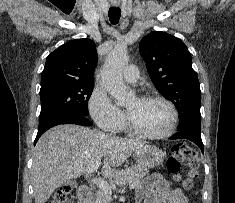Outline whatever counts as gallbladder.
Wrapping results in <instances>:
<instances>
[{"label":"gallbladder","mask_w":235,"mask_h":203,"mask_svg":"<svg viewBox=\"0 0 235 203\" xmlns=\"http://www.w3.org/2000/svg\"><path fill=\"white\" fill-rule=\"evenodd\" d=\"M68 184L72 187H77L78 186V183L75 180L68 181Z\"/></svg>","instance_id":"gallbladder-1"}]
</instances>
